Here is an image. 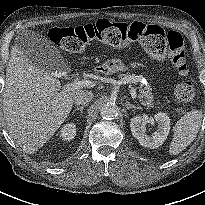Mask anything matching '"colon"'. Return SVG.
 I'll return each instance as SVG.
<instances>
[{
    "label": "colon",
    "mask_w": 205,
    "mask_h": 205,
    "mask_svg": "<svg viewBox=\"0 0 205 205\" xmlns=\"http://www.w3.org/2000/svg\"><path fill=\"white\" fill-rule=\"evenodd\" d=\"M50 40L65 51L79 52L84 45L98 40L109 46L122 47L127 43H138L158 58L167 56L180 76H186L188 66L185 60L184 41L175 30L165 33L164 28L154 23L134 21L131 24L110 22L102 18L93 24L76 27H53L48 32ZM174 95L180 102H190L195 90L191 82L178 81L174 85Z\"/></svg>",
    "instance_id": "1"
}]
</instances>
